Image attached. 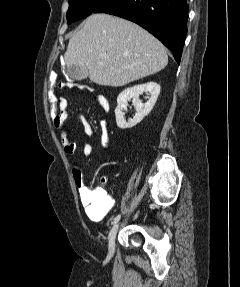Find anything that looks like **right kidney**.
Here are the masks:
<instances>
[{
    "mask_svg": "<svg viewBox=\"0 0 240 287\" xmlns=\"http://www.w3.org/2000/svg\"><path fill=\"white\" fill-rule=\"evenodd\" d=\"M144 92L149 93L150 97L146 103H142L139 96ZM160 93V85L155 82H148L136 85L122 91L117 97V107L115 109L116 123L120 129L132 128L140 123L153 109L158 95ZM132 99L133 106L136 109L135 116L128 119L124 118L123 110H127L128 101Z\"/></svg>",
    "mask_w": 240,
    "mask_h": 287,
    "instance_id": "1",
    "label": "right kidney"
}]
</instances>
